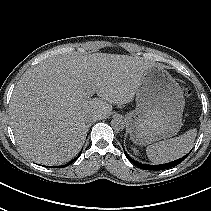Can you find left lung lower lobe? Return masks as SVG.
<instances>
[{"instance_id":"left-lung-lower-lobe-1","label":"left lung lower lobe","mask_w":211,"mask_h":211,"mask_svg":"<svg viewBox=\"0 0 211 211\" xmlns=\"http://www.w3.org/2000/svg\"><path fill=\"white\" fill-rule=\"evenodd\" d=\"M124 153H125L127 159L130 162H132L134 165H136L137 167H139L141 169H144V170H152V171L164 170V169H168V168H171V167H175L178 164H180L189 155V153H188L187 155L183 156L182 158H179V159L174 160V161L169 162V163L159 164V165H149V164H142V163H139V162L135 161L134 159H132L126 153L125 150H124Z\"/></svg>"}]
</instances>
